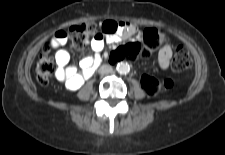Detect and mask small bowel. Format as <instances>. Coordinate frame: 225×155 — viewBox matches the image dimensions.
I'll return each instance as SVG.
<instances>
[{
    "mask_svg": "<svg viewBox=\"0 0 225 155\" xmlns=\"http://www.w3.org/2000/svg\"><path fill=\"white\" fill-rule=\"evenodd\" d=\"M134 32V27L126 22L107 20L102 24V31L91 40L92 55L84 57L78 67L70 64V55L64 48L71 39L70 33L63 28L57 29L51 35V45L56 48L55 61L57 64L56 78L64 83L69 90H77L84 81L90 78L100 64V53L106 43H114L121 37H127ZM172 58V48L164 45L158 52V64L161 70L169 68Z\"/></svg>",
    "mask_w": 225,
    "mask_h": 155,
    "instance_id": "obj_1",
    "label": "small bowel"
}]
</instances>
